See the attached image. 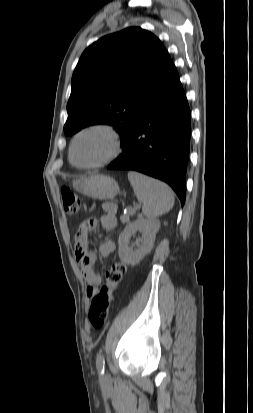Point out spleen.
Wrapping results in <instances>:
<instances>
[{"label":"spleen","mask_w":253,"mask_h":413,"mask_svg":"<svg viewBox=\"0 0 253 413\" xmlns=\"http://www.w3.org/2000/svg\"><path fill=\"white\" fill-rule=\"evenodd\" d=\"M128 179L145 216L157 218L172 209L174 195L168 185L135 171L128 172Z\"/></svg>","instance_id":"obj_1"}]
</instances>
